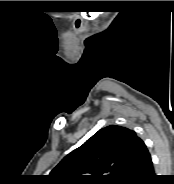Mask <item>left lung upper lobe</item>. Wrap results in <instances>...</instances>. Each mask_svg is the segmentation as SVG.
I'll return each instance as SVG.
<instances>
[{
    "mask_svg": "<svg viewBox=\"0 0 174 184\" xmlns=\"http://www.w3.org/2000/svg\"><path fill=\"white\" fill-rule=\"evenodd\" d=\"M142 140L110 125L68 154L50 173L56 184H123Z\"/></svg>",
    "mask_w": 174,
    "mask_h": 184,
    "instance_id": "left-lung-upper-lobe-1",
    "label": "left lung upper lobe"
}]
</instances>
